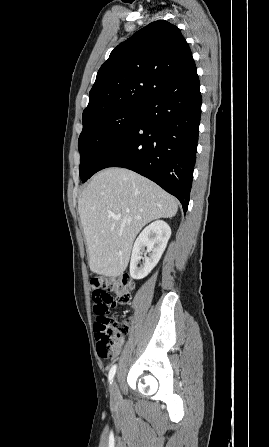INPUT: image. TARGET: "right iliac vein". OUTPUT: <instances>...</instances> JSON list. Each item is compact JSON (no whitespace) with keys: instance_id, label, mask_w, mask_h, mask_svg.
Returning <instances> with one entry per match:
<instances>
[{"instance_id":"obj_1","label":"right iliac vein","mask_w":269,"mask_h":447,"mask_svg":"<svg viewBox=\"0 0 269 447\" xmlns=\"http://www.w3.org/2000/svg\"><path fill=\"white\" fill-rule=\"evenodd\" d=\"M110 395H111V403L114 405L118 404V401L120 399V392L118 390V385L116 381H113L111 388H110Z\"/></svg>"}]
</instances>
